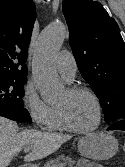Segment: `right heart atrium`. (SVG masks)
<instances>
[{
  "mask_svg": "<svg viewBox=\"0 0 125 167\" xmlns=\"http://www.w3.org/2000/svg\"><path fill=\"white\" fill-rule=\"evenodd\" d=\"M22 106L34 126L47 128L52 119L54 107L42 100L36 87L32 83L25 85L22 96Z\"/></svg>",
  "mask_w": 125,
  "mask_h": 167,
  "instance_id": "d8ad5b80",
  "label": "right heart atrium"
}]
</instances>
